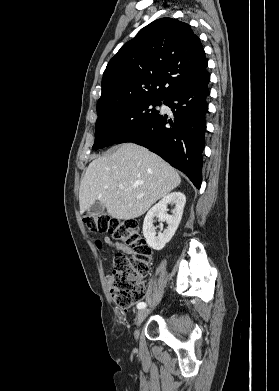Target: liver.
Returning <instances> with one entry per match:
<instances>
[{
	"mask_svg": "<svg viewBox=\"0 0 279 391\" xmlns=\"http://www.w3.org/2000/svg\"><path fill=\"white\" fill-rule=\"evenodd\" d=\"M180 183L177 171L161 157L125 143L89 164L80 184V212L99 201L113 218L134 219Z\"/></svg>",
	"mask_w": 279,
	"mask_h": 391,
	"instance_id": "liver-1",
	"label": "liver"
}]
</instances>
